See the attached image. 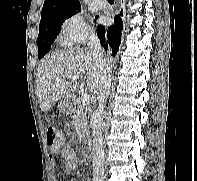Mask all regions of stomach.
Returning <instances> with one entry per match:
<instances>
[{
    "instance_id": "0dacf381",
    "label": "stomach",
    "mask_w": 197,
    "mask_h": 181,
    "mask_svg": "<svg viewBox=\"0 0 197 181\" xmlns=\"http://www.w3.org/2000/svg\"><path fill=\"white\" fill-rule=\"evenodd\" d=\"M58 109L61 113H66L71 109V98L67 97L62 99L58 105Z\"/></svg>"
}]
</instances>
